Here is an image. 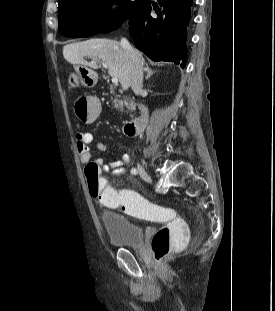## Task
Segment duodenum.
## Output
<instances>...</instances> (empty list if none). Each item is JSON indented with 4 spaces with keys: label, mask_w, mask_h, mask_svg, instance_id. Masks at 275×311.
<instances>
[{
    "label": "duodenum",
    "mask_w": 275,
    "mask_h": 311,
    "mask_svg": "<svg viewBox=\"0 0 275 311\" xmlns=\"http://www.w3.org/2000/svg\"><path fill=\"white\" fill-rule=\"evenodd\" d=\"M139 115L134 119L124 123L123 130L126 135L134 136L141 133L147 123L148 119V108L147 106L140 104L138 105Z\"/></svg>",
    "instance_id": "410a0bca"
}]
</instances>
